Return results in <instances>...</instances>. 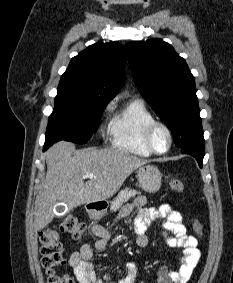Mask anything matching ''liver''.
I'll return each instance as SVG.
<instances>
[{
	"label": "liver",
	"instance_id": "1",
	"mask_svg": "<svg viewBox=\"0 0 233 283\" xmlns=\"http://www.w3.org/2000/svg\"><path fill=\"white\" fill-rule=\"evenodd\" d=\"M149 161L115 149L76 150L61 141L46 152L47 173L43 192L36 199L35 228L43 229L55 217L59 203L69 209L113 196L126 178ZM95 178L84 183V175Z\"/></svg>",
	"mask_w": 233,
	"mask_h": 283
}]
</instances>
